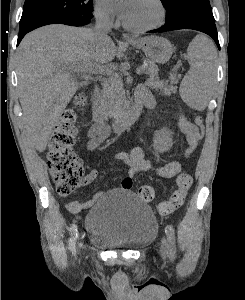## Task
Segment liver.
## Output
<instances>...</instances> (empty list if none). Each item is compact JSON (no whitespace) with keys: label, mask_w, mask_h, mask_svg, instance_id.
Wrapping results in <instances>:
<instances>
[{"label":"liver","mask_w":245,"mask_h":300,"mask_svg":"<svg viewBox=\"0 0 245 300\" xmlns=\"http://www.w3.org/2000/svg\"><path fill=\"white\" fill-rule=\"evenodd\" d=\"M111 38L99 41L91 28L52 24L28 33L17 51V75L27 135L46 149L61 114L79 88L72 72L111 62Z\"/></svg>","instance_id":"6515ba94"}]
</instances>
